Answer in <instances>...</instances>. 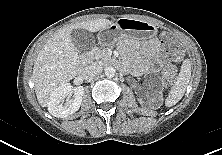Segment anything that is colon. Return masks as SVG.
<instances>
[{
    "instance_id": "5ec220e1",
    "label": "colon",
    "mask_w": 222,
    "mask_h": 155,
    "mask_svg": "<svg viewBox=\"0 0 222 155\" xmlns=\"http://www.w3.org/2000/svg\"><path fill=\"white\" fill-rule=\"evenodd\" d=\"M162 53L167 60H175L180 57V49L175 39L168 33L161 36ZM177 69L172 64H167L162 72L163 81L168 86H173L176 82Z\"/></svg>"
}]
</instances>
